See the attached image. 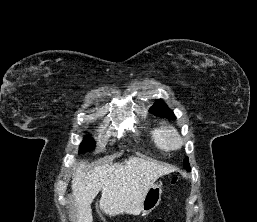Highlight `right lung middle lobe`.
Segmentation results:
<instances>
[{
	"label": "right lung middle lobe",
	"instance_id": "1",
	"mask_svg": "<svg viewBox=\"0 0 257 222\" xmlns=\"http://www.w3.org/2000/svg\"><path fill=\"white\" fill-rule=\"evenodd\" d=\"M95 147V142L92 138L87 137L85 138L81 145H80V150L79 153L87 152L93 150Z\"/></svg>",
	"mask_w": 257,
	"mask_h": 222
}]
</instances>
